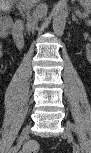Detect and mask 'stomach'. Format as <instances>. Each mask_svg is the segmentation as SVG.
I'll return each instance as SVG.
<instances>
[{
    "instance_id": "1",
    "label": "stomach",
    "mask_w": 91,
    "mask_h": 153,
    "mask_svg": "<svg viewBox=\"0 0 91 153\" xmlns=\"http://www.w3.org/2000/svg\"><path fill=\"white\" fill-rule=\"evenodd\" d=\"M81 5H83L87 10L90 9L91 1L90 0H80L79 1Z\"/></svg>"
}]
</instances>
